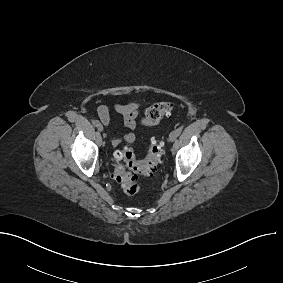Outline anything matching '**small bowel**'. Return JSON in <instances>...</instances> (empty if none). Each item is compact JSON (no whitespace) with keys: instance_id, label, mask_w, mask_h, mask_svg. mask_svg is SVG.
<instances>
[{"instance_id":"obj_1","label":"small bowel","mask_w":283,"mask_h":283,"mask_svg":"<svg viewBox=\"0 0 283 283\" xmlns=\"http://www.w3.org/2000/svg\"><path fill=\"white\" fill-rule=\"evenodd\" d=\"M114 111L122 117L124 125L130 129L135 130L137 127L136 118L140 111V105L137 102H131L127 104L115 103L113 105ZM98 117L104 125H108L111 122V113L107 106H99ZM136 140V135L133 132H128L122 137H114L112 139V145L118 146L122 142L133 143Z\"/></svg>"}]
</instances>
